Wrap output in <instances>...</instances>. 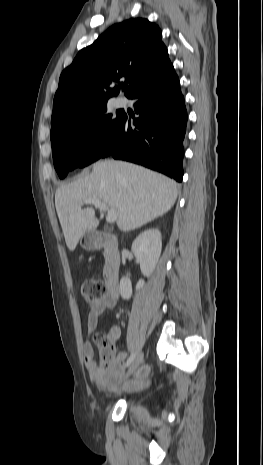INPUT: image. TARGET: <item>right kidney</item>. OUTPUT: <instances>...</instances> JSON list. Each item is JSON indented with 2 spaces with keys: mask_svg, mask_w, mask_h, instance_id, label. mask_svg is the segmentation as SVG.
<instances>
[{
  "mask_svg": "<svg viewBox=\"0 0 263 465\" xmlns=\"http://www.w3.org/2000/svg\"><path fill=\"white\" fill-rule=\"evenodd\" d=\"M134 256L140 263V269L144 276L149 277L160 258L162 250L161 233L158 229H149L140 233L132 243L131 248ZM144 280L141 279L136 285V290L143 288ZM120 295L123 299L132 296L131 281L127 277L120 280Z\"/></svg>",
  "mask_w": 263,
  "mask_h": 465,
  "instance_id": "1",
  "label": "right kidney"
}]
</instances>
